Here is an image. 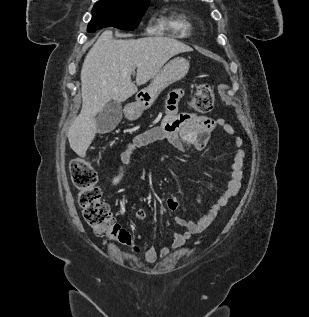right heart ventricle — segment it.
<instances>
[{"label": "right heart ventricle", "mask_w": 309, "mask_h": 317, "mask_svg": "<svg viewBox=\"0 0 309 317\" xmlns=\"http://www.w3.org/2000/svg\"><path fill=\"white\" fill-rule=\"evenodd\" d=\"M171 26L182 35L189 34L192 29V24L185 18L175 20Z\"/></svg>", "instance_id": "obj_1"}]
</instances>
